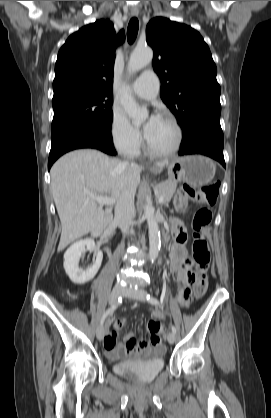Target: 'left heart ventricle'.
I'll use <instances>...</instances> for the list:
<instances>
[{
    "instance_id": "left-heart-ventricle-1",
    "label": "left heart ventricle",
    "mask_w": 271,
    "mask_h": 418,
    "mask_svg": "<svg viewBox=\"0 0 271 418\" xmlns=\"http://www.w3.org/2000/svg\"><path fill=\"white\" fill-rule=\"evenodd\" d=\"M147 139L154 149L164 151L174 145L176 132L168 120L160 117Z\"/></svg>"
}]
</instances>
